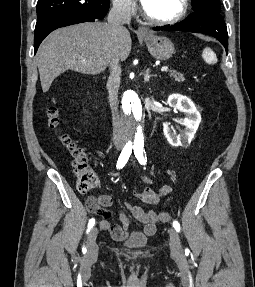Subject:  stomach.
Segmentation results:
<instances>
[{
  "mask_svg": "<svg viewBox=\"0 0 255 287\" xmlns=\"http://www.w3.org/2000/svg\"><path fill=\"white\" fill-rule=\"evenodd\" d=\"M143 40L148 48V52L156 60H169L175 52L174 44H172L169 38H165V36H153V34H150L147 38L143 36Z\"/></svg>",
  "mask_w": 255,
  "mask_h": 287,
  "instance_id": "1",
  "label": "stomach"
}]
</instances>
